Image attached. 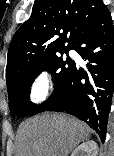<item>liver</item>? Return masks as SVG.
<instances>
[{"instance_id": "6515ba94", "label": "liver", "mask_w": 114, "mask_h": 156, "mask_svg": "<svg viewBox=\"0 0 114 156\" xmlns=\"http://www.w3.org/2000/svg\"><path fill=\"white\" fill-rule=\"evenodd\" d=\"M91 129L82 121L57 113H43L21 123L15 156H68L87 140Z\"/></svg>"}]
</instances>
